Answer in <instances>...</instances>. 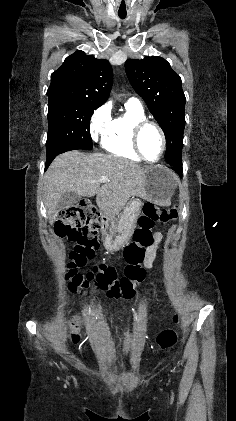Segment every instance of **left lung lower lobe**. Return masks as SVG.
Masks as SVG:
<instances>
[{"label": "left lung lower lobe", "instance_id": "1", "mask_svg": "<svg viewBox=\"0 0 236 421\" xmlns=\"http://www.w3.org/2000/svg\"><path fill=\"white\" fill-rule=\"evenodd\" d=\"M170 167L177 172V174L182 177V163H177L170 165Z\"/></svg>", "mask_w": 236, "mask_h": 421}]
</instances>
